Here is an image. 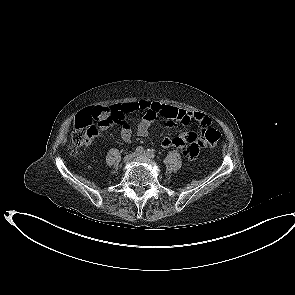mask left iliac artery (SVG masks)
I'll use <instances>...</instances> for the list:
<instances>
[{
  "label": "left iliac artery",
  "mask_w": 295,
  "mask_h": 295,
  "mask_svg": "<svg viewBox=\"0 0 295 295\" xmlns=\"http://www.w3.org/2000/svg\"><path fill=\"white\" fill-rule=\"evenodd\" d=\"M147 154H148L151 158H154V157H155V153H154L153 149H147Z\"/></svg>",
  "instance_id": "1"
}]
</instances>
